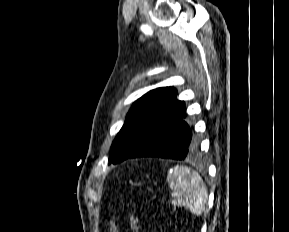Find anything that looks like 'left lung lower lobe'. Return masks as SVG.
Returning a JSON list of instances; mask_svg holds the SVG:
<instances>
[{
    "mask_svg": "<svg viewBox=\"0 0 289 232\" xmlns=\"http://www.w3.org/2000/svg\"><path fill=\"white\" fill-rule=\"evenodd\" d=\"M183 106L176 117L158 130L144 145L128 158L161 157L183 160L192 156L198 147V140L192 128L184 120Z\"/></svg>",
    "mask_w": 289,
    "mask_h": 232,
    "instance_id": "0a47b994",
    "label": "left lung lower lobe"
}]
</instances>
